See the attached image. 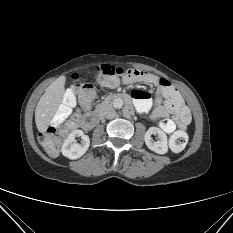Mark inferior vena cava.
<instances>
[{
	"label": "inferior vena cava",
	"mask_w": 233,
	"mask_h": 233,
	"mask_svg": "<svg viewBox=\"0 0 233 233\" xmlns=\"http://www.w3.org/2000/svg\"><path fill=\"white\" fill-rule=\"evenodd\" d=\"M117 116L116 111L113 107H108L107 110L105 111V117L107 119H113Z\"/></svg>",
	"instance_id": "602c4592"
}]
</instances>
